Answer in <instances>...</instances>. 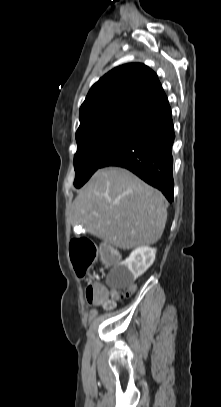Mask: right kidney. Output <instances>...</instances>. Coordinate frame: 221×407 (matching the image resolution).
I'll use <instances>...</instances> for the list:
<instances>
[{
	"label": "right kidney",
	"mask_w": 221,
	"mask_h": 407,
	"mask_svg": "<svg viewBox=\"0 0 221 407\" xmlns=\"http://www.w3.org/2000/svg\"><path fill=\"white\" fill-rule=\"evenodd\" d=\"M156 249L148 246L138 247L133 250L128 258L120 263L122 281L126 285H131L153 264Z\"/></svg>",
	"instance_id": "1"
}]
</instances>
